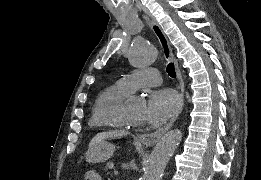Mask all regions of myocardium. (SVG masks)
<instances>
[{
	"label": "myocardium",
	"mask_w": 261,
	"mask_h": 180,
	"mask_svg": "<svg viewBox=\"0 0 261 180\" xmlns=\"http://www.w3.org/2000/svg\"><path fill=\"white\" fill-rule=\"evenodd\" d=\"M128 96L126 97V99ZM125 107H121L115 113V123L117 130L127 137H141L144 135V132L148 130V124L144 127H138L131 124L126 123L122 119V114L124 112Z\"/></svg>",
	"instance_id": "f54148a6"
}]
</instances>
